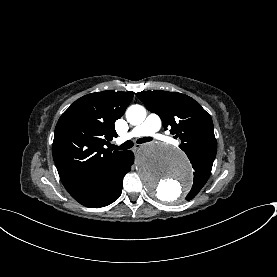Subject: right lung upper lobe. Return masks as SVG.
Returning <instances> with one entry per match:
<instances>
[{
	"label": "right lung upper lobe",
	"instance_id": "1",
	"mask_svg": "<svg viewBox=\"0 0 277 277\" xmlns=\"http://www.w3.org/2000/svg\"><path fill=\"white\" fill-rule=\"evenodd\" d=\"M133 92L102 91L76 100L61 115L55 128L53 159L69 192L125 151L104 148L117 137L114 123L123 114Z\"/></svg>",
	"mask_w": 277,
	"mask_h": 277
}]
</instances>
